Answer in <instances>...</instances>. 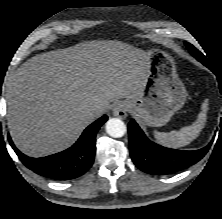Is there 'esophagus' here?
Masks as SVG:
<instances>
[{
  "instance_id": "esophagus-1",
  "label": "esophagus",
  "mask_w": 222,
  "mask_h": 219,
  "mask_svg": "<svg viewBox=\"0 0 222 219\" xmlns=\"http://www.w3.org/2000/svg\"><path fill=\"white\" fill-rule=\"evenodd\" d=\"M113 115L118 118L125 119L127 117L126 105L123 102L117 103L113 109Z\"/></svg>"
}]
</instances>
